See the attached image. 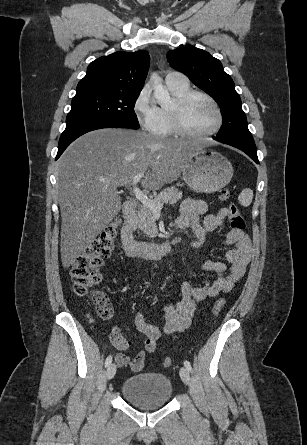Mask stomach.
<instances>
[{"label": "stomach", "mask_w": 307, "mask_h": 445, "mask_svg": "<svg viewBox=\"0 0 307 445\" xmlns=\"http://www.w3.org/2000/svg\"><path fill=\"white\" fill-rule=\"evenodd\" d=\"M182 176L187 186L195 192L211 194L230 182L233 166L226 156L203 146L189 158Z\"/></svg>", "instance_id": "0dacf381"}]
</instances>
